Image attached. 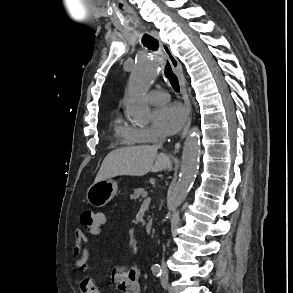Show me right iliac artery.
<instances>
[{"label":"right iliac artery","mask_w":293,"mask_h":293,"mask_svg":"<svg viewBox=\"0 0 293 293\" xmlns=\"http://www.w3.org/2000/svg\"><path fill=\"white\" fill-rule=\"evenodd\" d=\"M152 272L156 277L161 276L162 269L160 267H153Z\"/></svg>","instance_id":"obj_1"}]
</instances>
